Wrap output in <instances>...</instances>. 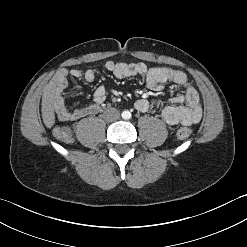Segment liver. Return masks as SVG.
<instances>
[{
  "label": "liver",
  "mask_w": 247,
  "mask_h": 247,
  "mask_svg": "<svg viewBox=\"0 0 247 247\" xmlns=\"http://www.w3.org/2000/svg\"><path fill=\"white\" fill-rule=\"evenodd\" d=\"M56 91L55 81L52 79L44 88L42 96V119L47 128H51L55 123V113L53 107V100Z\"/></svg>",
  "instance_id": "1"
}]
</instances>
